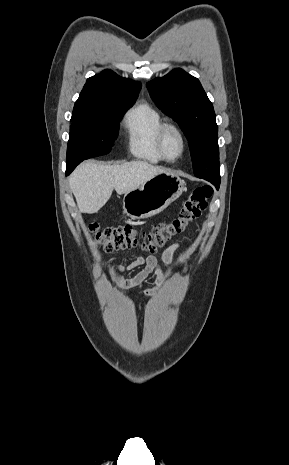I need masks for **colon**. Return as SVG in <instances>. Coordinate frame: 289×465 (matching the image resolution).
Returning <instances> with one entry per match:
<instances>
[{
  "label": "colon",
  "mask_w": 289,
  "mask_h": 465,
  "mask_svg": "<svg viewBox=\"0 0 289 465\" xmlns=\"http://www.w3.org/2000/svg\"><path fill=\"white\" fill-rule=\"evenodd\" d=\"M212 194L210 186L191 190L174 217L158 223L149 231L138 230L131 225L101 228L97 222H91L88 227L89 239L107 252L140 247L153 253L174 236L183 233L206 210Z\"/></svg>",
  "instance_id": "obj_1"
}]
</instances>
